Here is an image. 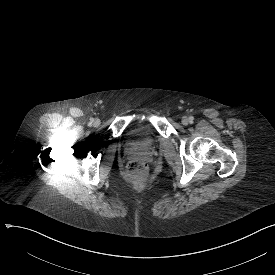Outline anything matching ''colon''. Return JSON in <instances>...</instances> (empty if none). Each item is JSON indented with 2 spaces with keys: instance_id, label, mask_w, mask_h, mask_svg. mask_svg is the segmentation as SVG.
I'll return each instance as SVG.
<instances>
[{
  "instance_id": "5ec220e1",
  "label": "colon",
  "mask_w": 275,
  "mask_h": 275,
  "mask_svg": "<svg viewBox=\"0 0 275 275\" xmlns=\"http://www.w3.org/2000/svg\"><path fill=\"white\" fill-rule=\"evenodd\" d=\"M128 171L131 174L143 175L146 171V164L141 160L132 161L128 165Z\"/></svg>"
}]
</instances>
